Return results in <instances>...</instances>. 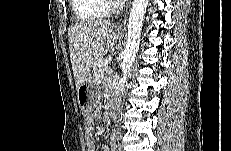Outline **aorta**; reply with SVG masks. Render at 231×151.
Instances as JSON below:
<instances>
[{
    "label": "aorta",
    "instance_id": "762f6f07",
    "mask_svg": "<svg viewBox=\"0 0 231 151\" xmlns=\"http://www.w3.org/2000/svg\"><path fill=\"white\" fill-rule=\"evenodd\" d=\"M149 0H134L128 21V38L126 47L122 53V79H126L127 74L135 60L140 44L142 24Z\"/></svg>",
    "mask_w": 231,
    "mask_h": 151
}]
</instances>
